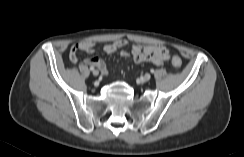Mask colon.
<instances>
[{
	"label": "colon",
	"instance_id": "obj_1",
	"mask_svg": "<svg viewBox=\"0 0 244 157\" xmlns=\"http://www.w3.org/2000/svg\"><path fill=\"white\" fill-rule=\"evenodd\" d=\"M172 65L175 67V68H180L181 65H182V61L181 59L178 57V56H173L172 57Z\"/></svg>",
	"mask_w": 244,
	"mask_h": 157
}]
</instances>
